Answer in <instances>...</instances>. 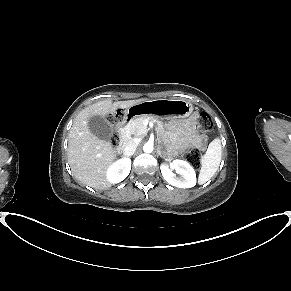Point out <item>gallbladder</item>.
I'll use <instances>...</instances> for the list:
<instances>
[{"label": "gallbladder", "instance_id": "gallbladder-1", "mask_svg": "<svg viewBox=\"0 0 291 291\" xmlns=\"http://www.w3.org/2000/svg\"><path fill=\"white\" fill-rule=\"evenodd\" d=\"M88 127L92 134L98 139L109 141L112 135V129L106 119L100 115H95L89 118Z\"/></svg>", "mask_w": 291, "mask_h": 291}]
</instances>
